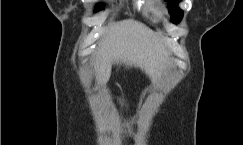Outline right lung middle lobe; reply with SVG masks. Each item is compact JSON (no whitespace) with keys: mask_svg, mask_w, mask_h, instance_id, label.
Here are the masks:
<instances>
[{"mask_svg":"<svg viewBox=\"0 0 243 145\" xmlns=\"http://www.w3.org/2000/svg\"><path fill=\"white\" fill-rule=\"evenodd\" d=\"M103 7L101 6V5H97L96 6V10H100V9H102Z\"/></svg>","mask_w":243,"mask_h":145,"instance_id":"1","label":"right lung middle lobe"}]
</instances>
